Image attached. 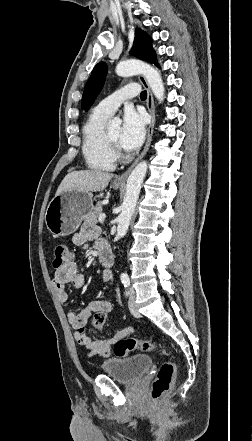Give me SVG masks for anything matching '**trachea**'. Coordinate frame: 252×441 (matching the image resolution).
I'll list each match as a JSON object with an SVG mask.
<instances>
[{
    "label": "trachea",
    "instance_id": "1",
    "mask_svg": "<svg viewBox=\"0 0 252 441\" xmlns=\"http://www.w3.org/2000/svg\"><path fill=\"white\" fill-rule=\"evenodd\" d=\"M146 97H147V92L146 91H142L141 94H140V98L146 99Z\"/></svg>",
    "mask_w": 252,
    "mask_h": 441
}]
</instances>
